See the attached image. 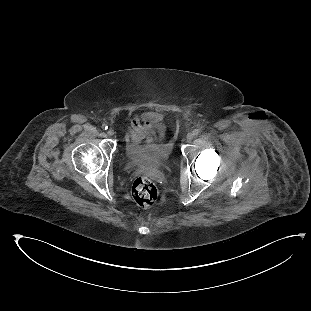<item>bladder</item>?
Listing matches in <instances>:
<instances>
[{
	"label": "bladder",
	"instance_id": "1",
	"mask_svg": "<svg viewBox=\"0 0 311 311\" xmlns=\"http://www.w3.org/2000/svg\"><path fill=\"white\" fill-rule=\"evenodd\" d=\"M173 148L167 142L155 143L146 141L144 146L133 145L129 136L124 135L121 154L127 163L134 168L157 170L163 169L168 165L169 159L172 158Z\"/></svg>",
	"mask_w": 311,
	"mask_h": 311
}]
</instances>
